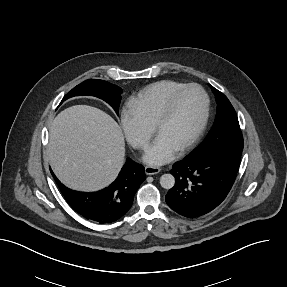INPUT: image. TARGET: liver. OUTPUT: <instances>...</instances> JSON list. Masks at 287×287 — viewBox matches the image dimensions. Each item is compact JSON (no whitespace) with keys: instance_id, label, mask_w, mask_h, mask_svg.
I'll return each instance as SVG.
<instances>
[{"instance_id":"1","label":"liver","mask_w":287,"mask_h":287,"mask_svg":"<svg viewBox=\"0 0 287 287\" xmlns=\"http://www.w3.org/2000/svg\"><path fill=\"white\" fill-rule=\"evenodd\" d=\"M124 156L121 128L98 108L69 107L51 124L47 157L55 175L71 189L91 192L108 186Z\"/></svg>"}]
</instances>
